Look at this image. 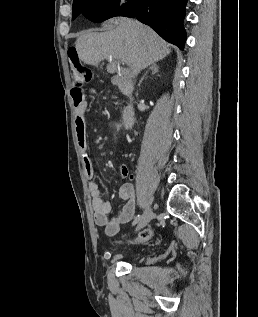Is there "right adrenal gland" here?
<instances>
[{"label": "right adrenal gland", "mask_w": 258, "mask_h": 317, "mask_svg": "<svg viewBox=\"0 0 258 317\" xmlns=\"http://www.w3.org/2000/svg\"><path fill=\"white\" fill-rule=\"evenodd\" d=\"M149 70H151V74H155V72H159L158 64H155V62H152L151 66H149ZM146 72H148V70H146ZM145 76H146V74H144V76H142L141 80H139L138 86H141V82H142V80H144ZM157 76H160V74H157Z\"/></svg>", "instance_id": "right-adrenal-gland-1"}]
</instances>
